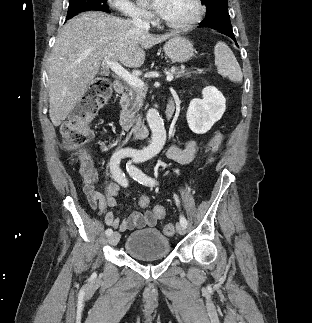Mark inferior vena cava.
Wrapping results in <instances>:
<instances>
[{
    "mask_svg": "<svg viewBox=\"0 0 312 323\" xmlns=\"http://www.w3.org/2000/svg\"><path fill=\"white\" fill-rule=\"evenodd\" d=\"M142 16H143V12H135V14H132V16H131L132 20H129V22H132V24H134V26H136V28H139V30H146V32H148V30L150 28V24H149V22H147V20H143ZM141 124H142L141 118H138V120L136 122V126H134V128L132 130V132H134L135 136H137V134L140 130Z\"/></svg>",
    "mask_w": 312,
    "mask_h": 323,
    "instance_id": "1",
    "label": "inferior vena cava"
}]
</instances>
